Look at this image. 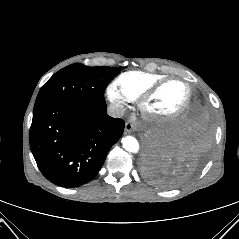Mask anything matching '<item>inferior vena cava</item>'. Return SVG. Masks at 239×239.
Listing matches in <instances>:
<instances>
[{
    "label": "inferior vena cava",
    "mask_w": 239,
    "mask_h": 239,
    "mask_svg": "<svg viewBox=\"0 0 239 239\" xmlns=\"http://www.w3.org/2000/svg\"><path fill=\"white\" fill-rule=\"evenodd\" d=\"M107 113L113 118H121L125 113V109L121 105H110L107 108Z\"/></svg>",
    "instance_id": "inferior-vena-cava-1"
}]
</instances>
